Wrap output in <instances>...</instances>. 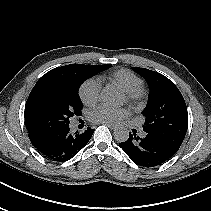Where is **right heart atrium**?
<instances>
[{
	"instance_id": "d8ad5b80",
	"label": "right heart atrium",
	"mask_w": 211,
	"mask_h": 211,
	"mask_svg": "<svg viewBox=\"0 0 211 211\" xmlns=\"http://www.w3.org/2000/svg\"><path fill=\"white\" fill-rule=\"evenodd\" d=\"M101 83L97 78L87 79L79 89V96L82 102L92 106L100 99Z\"/></svg>"
}]
</instances>
